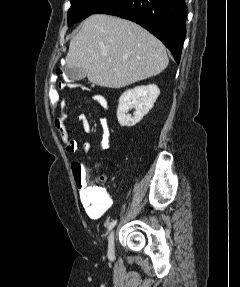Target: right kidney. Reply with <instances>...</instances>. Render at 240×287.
I'll return each instance as SVG.
<instances>
[{
	"label": "right kidney",
	"mask_w": 240,
	"mask_h": 287,
	"mask_svg": "<svg viewBox=\"0 0 240 287\" xmlns=\"http://www.w3.org/2000/svg\"><path fill=\"white\" fill-rule=\"evenodd\" d=\"M160 94L155 84L138 86L125 91L119 98L117 108V119L120 126L131 127L136 125L153 108V105ZM134 109L133 116L128 114Z\"/></svg>",
	"instance_id": "1"
}]
</instances>
